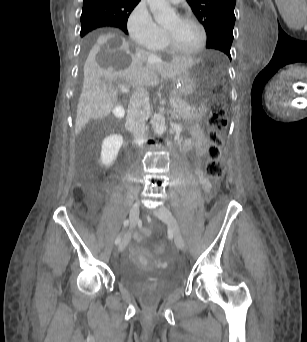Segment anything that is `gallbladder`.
I'll return each mask as SVG.
<instances>
[{"instance_id": "gallbladder-1", "label": "gallbladder", "mask_w": 307, "mask_h": 342, "mask_svg": "<svg viewBox=\"0 0 307 342\" xmlns=\"http://www.w3.org/2000/svg\"><path fill=\"white\" fill-rule=\"evenodd\" d=\"M114 117L115 118H122L123 117V109H122V104L121 103H116L114 106Z\"/></svg>"}]
</instances>
